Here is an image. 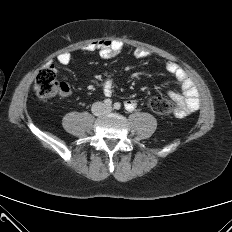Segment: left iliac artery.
Listing matches in <instances>:
<instances>
[{
	"mask_svg": "<svg viewBox=\"0 0 232 232\" xmlns=\"http://www.w3.org/2000/svg\"><path fill=\"white\" fill-rule=\"evenodd\" d=\"M121 108V104L119 102L114 103V109L119 110Z\"/></svg>",
	"mask_w": 232,
	"mask_h": 232,
	"instance_id": "1",
	"label": "left iliac artery"
}]
</instances>
